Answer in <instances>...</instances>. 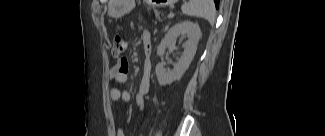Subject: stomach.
I'll use <instances>...</instances> for the list:
<instances>
[{
	"mask_svg": "<svg viewBox=\"0 0 325 136\" xmlns=\"http://www.w3.org/2000/svg\"><path fill=\"white\" fill-rule=\"evenodd\" d=\"M155 7H167L176 2V0H147ZM134 7L133 0H113L112 14L114 17H120L130 12Z\"/></svg>",
	"mask_w": 325,
	"mask_h": 136,
	"instance_id": "0dacf381",
	"label": "stomach"
}]
</instances>
